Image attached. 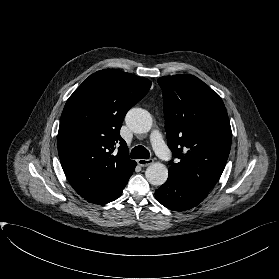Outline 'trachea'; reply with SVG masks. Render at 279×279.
<instances>
[{
	"label": "trachea",
	"instance_id": "obj_1",
	"mask_svg": "<svg viewBox=\"0 0 279 279\" xmlns=\"http://www.w3.org/2000/svg\"><path fill=\"white\" fill-rule=\"evenodd\" d=\"M130 157L132 159H149V151L142 145L134 147L131 151Z\"/></svg>",
	"mask_w": 279,
	"mask_h": 279
}]
</instances>
